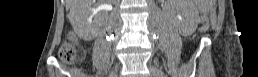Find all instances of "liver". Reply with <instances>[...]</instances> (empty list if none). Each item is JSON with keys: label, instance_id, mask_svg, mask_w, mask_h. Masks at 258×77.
<instances>
[{"label": "liver", "instance_id": "obj_1", "mask_svg": "<svg viewBox=\"0 0 258 77\" xmlns=\"http://www.w3.org/2000/svg\"><path fill=\"white\" fill-rule=\"evenodd\" d=\"M92 4V0H67L66 6L70 8L69 20L73 25L74 22V14L73 10L76 9L77 12L83 9L88 8Z\"/></svg>", "mask_w": 258, "mask_h": 77}]
</instances>
